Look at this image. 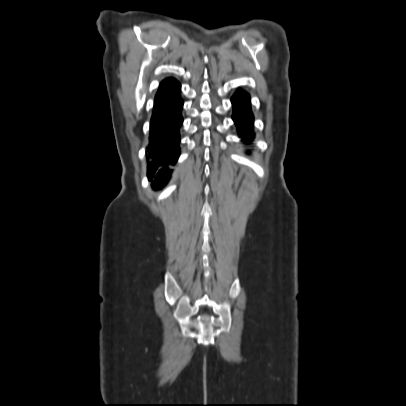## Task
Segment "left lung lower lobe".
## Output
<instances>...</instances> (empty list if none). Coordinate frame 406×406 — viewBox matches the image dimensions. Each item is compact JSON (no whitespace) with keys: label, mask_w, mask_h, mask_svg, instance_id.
Segmentation results:
<instances>
[{"label":"left lung lower lobe","mask_w":406,"mask_h":406,"mask_svg":"<svg viewBox=\"0 0 406 406\" xmlns=\"http://www.w3.org/2000/svg\"><path fill=\"white\" fill-rule=\"evenodd\" d=\"M233 120L236 123L239 135L243 140L251 141L253 138V114L250 108V97L244 91H237L232 97Z\"/></svg>","instance_id":"0a47b994"}]
</instances>
